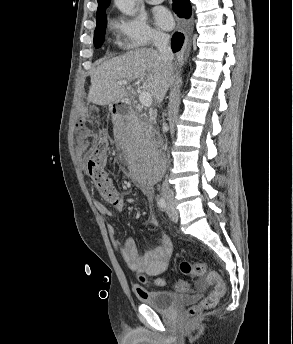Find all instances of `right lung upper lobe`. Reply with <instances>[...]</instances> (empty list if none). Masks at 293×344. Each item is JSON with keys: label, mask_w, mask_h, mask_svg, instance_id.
I'll list each match as a JSON object with an SVG mask.
<instances>
[{"label": "right lung upper lobe", "mask_w": 293, "mask_h": 344, "mask_svg": "<svg viewBox=\"0 0 293 344\" xmlns=\"http://www.w3.org/2000/svg\"><path fill=\"white\" fill-rule=\"evenodd\" d=\"M98 1V9L97 13L101 12L104 8H107L110 4V0H97Z\"/></svg>", "instance_id": "1"}]
</instances>
